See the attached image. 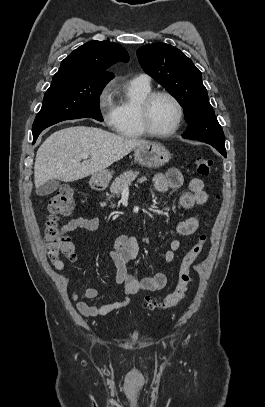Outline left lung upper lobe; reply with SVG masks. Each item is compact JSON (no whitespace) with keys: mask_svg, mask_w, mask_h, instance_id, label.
Segmentation results:
<instances>
[{"mask_svg":"<svg viewBox=\"0 0 265 407\" xmlns=\"http://www.w3.org/2000/svg\"><path fill=\"white\" fill-rule=\"evenodd\" d=\"M144 71L176 98L189 124L183 138L194 139L226 152L224 134L208 94L201 72L179 49L170 44L153 43L137 50Z\"/></svg>","mask_w":265,"mask_h":407,"instance_id":"5c2ea615","label":"left lung upper lobe"}]
</instances>
